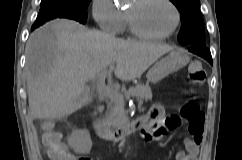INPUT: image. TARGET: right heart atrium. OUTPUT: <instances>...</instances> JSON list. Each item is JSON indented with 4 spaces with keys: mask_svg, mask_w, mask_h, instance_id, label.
I'll use <instances>...</instances> for the list:
<instances>
[{
    "mask_svg": "<svg viewBox=\"0 0 242 160\" xmlns=\"http://www.w3.org/2000/svg\"><path fill=\"white\" fill-rule=\"evenodd\" d=\"M92 16L99 28L110 35L124 28L125 16L112 0H92Z\"/></svg>",
    "mask_w": 242,
    "mask_h": 160,
    "instance_id": "right-heart-atrium-1",
    "label": "right heart atrium"
}]
</instances>
